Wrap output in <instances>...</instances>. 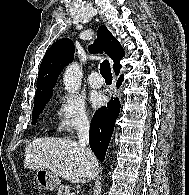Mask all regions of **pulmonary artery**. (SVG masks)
Instances as JSON below:
<instances>
[{
    "label": "pulmonary artery",
    "instance_id": "pulmonary-artery-1",
    "mask_svg": "<svg viewBox=\"0 0 189 195\" xmlns=\"http://www.w3.org/2000/svg\"><path fill=\"white\" fill-rule=\"evenodd\" d=\"M88 84L93 89H100L103 86V78L99 72L93 71L88 76Z\"/></svg>",
    "mask_w": 189,
    "mask_h": 195
}]
</instances>
